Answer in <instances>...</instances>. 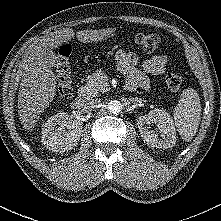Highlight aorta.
Here are the masks:
<instances>
[{
    "instance_id": "1",
    "label": "aorta",
    "mask_w": 221,
    "mask_h": 221,
    "mask_svg": "<svg viewBox=\"0 0 221 221\" xmlns=\"http://www.w3.org/2000/svg\"><path fill=\"white\" fill-rule=\"evenodd\" d=\"M122 104L119 101L113 100L108 103V110L113 114H118L121 112Z\"/></svg>"
}]
</instances>
